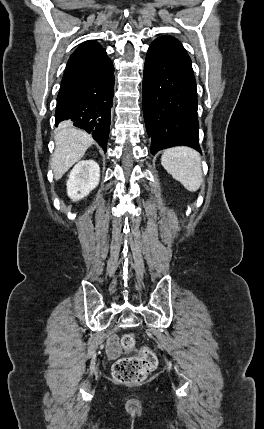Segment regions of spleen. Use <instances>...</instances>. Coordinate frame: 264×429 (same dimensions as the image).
I'll use <instances>...</instances> for the list:
<instances>
[{
	"label": "spleen",
	"mask_w": 264,
	"mask_h": 429,
	"mask_svg": "<svg viewBox=\"0 0 264 429\" xmlns=\"http://www.w3.org/2000/svg\"><path fill=\"white\" fill-rule=\"evenodd\" d=\"M161 164L188 191L200 188L203 181L201 157L196 150L186 146L169 148L163 152Z\"/></svg>",
	"instance_id": "3e777b00"
}]
</instances>
